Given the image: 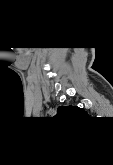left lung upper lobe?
<instances>
[{
  "label": "left lung upper lobe",
  "instance_id": "left-lung-upper-lobe-1",
  "mask_svg": "<svg viewBox=\"0 0 113 165\" xmlns=\"http://www.w3.org/2000/svg\"><path fill=\"white\" fill-rule=\"evenodd\" d=\"M58 114H65V115H71V116H83L86 114V112L79 107L65 106V107L58 108L57 115Z\"/></svg>",
  "mask_w": 113,
  "mask_h": 165
}]
</instances>
